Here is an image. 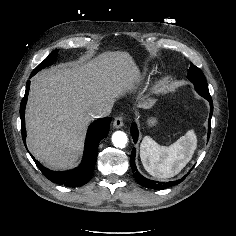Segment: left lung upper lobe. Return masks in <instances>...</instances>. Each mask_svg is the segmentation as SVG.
<instances>
[{
	"instance_id": "1",
	"label": "left lung upper lobe",
	"mask_w": 236,
	"mask_h": 236,
	"mask_svg": "<svg viewBox=\"0 0 236 236\" xmlns=\"http://www.w3.org/2000/svg\"><path fill=\"white\" fill-rule=\"evenodd\" d=\"M187 78L194 84L198 94L205 99L211 98L205 76L198 67L191 65L187 73Z\"/></svg>"
}]
</instances>
